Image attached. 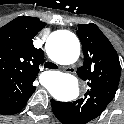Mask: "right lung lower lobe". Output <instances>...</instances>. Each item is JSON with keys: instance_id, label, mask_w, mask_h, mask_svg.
Instances as JSON below:
<instances>
[{"instance_id": "1", "label": "right lung lower lobe", "mask_w": 124, "mask_h": 124, "mask_svg": "<svg viewBox=\"0 0 124 124\" xmlns=\"http://www.w3.org/2000/svg\"><path fill=\"white\" fill-rule=\"evenodd\" d=\"M25 105H26V104H25ZM25 105H24V106H25ZM24 106L20 107V108L17 109V110L8 111V112H1L0 114H3V115H11V114H15V113L19 112L21 109H23Z\"/></svg>"}]
</instances>
